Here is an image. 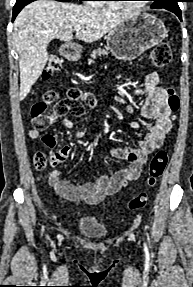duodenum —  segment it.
I'll use <instances>...</instances> for the list:
<instances>
[{"label":"duodenum","instance_id":"1","mask_svg":"<svg viewBox=\"0 0 193 287\" xmlns=\"http://www.w3.org/2000/svg\"><path fill=\"white\" fill-rule=\"evenodd\" d=\"M80 48L76 44L68 43L63 48V55L69 60L76 59L79 56Z\"/></svg>","mask_w":193,"mask_h":287}]
</instances>
